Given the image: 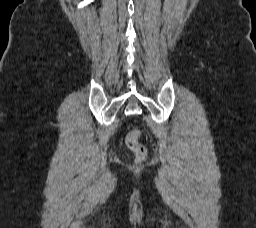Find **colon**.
Instances as JSON below:
<instances>
[{
  "instance_id": "5ec220e1",
  "label": "colon",
  "mask_w": 256,
  "mask_h": 228,
  "mask_svg": "<svg viewBox=\"0 0 256 228\" xmlns=\"http://www.w3.org/2000/svg\"><path fill=\"white\" fill-rule=\"evenodd\" d=\"M141 133L138 129L131 130L126 135V145L134 153L137 161H143L147 155L146 147L140 143Z\"/></svg>"
}]
</instances>
